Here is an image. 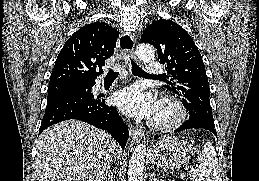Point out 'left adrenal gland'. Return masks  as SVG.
Segmentation results:
<instances>
[{
  "label": "left adrenal gland",
  "mask_w": 259,
  "mask_h": 181,
  "mask_svg": "<svg viewBox=\"0 0 259 181\" xmlns=\"http://www.w3.org/2000/svg\"><path fill=\"white\" fill-rule=\"evenodd\" d=\"M150 177H151L150 181H159V179L155 177L154 173H151ZM160 181H162V180H160Z\"/></svg>",
  "instance_id": "obj_1"
}]
</instances>
